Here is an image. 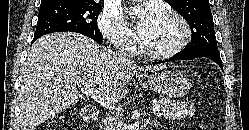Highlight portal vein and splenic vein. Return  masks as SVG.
Returning <instances> with one entry per match:
<instances>
[{
	"label": "portal vein and splenic vein",
	"mask_w": 249,
	"mask_h": 130,
	"mask_svg": "<svg viewBox=\"0 0 249 130\" xmlns=\"http://www.w3.org/2000/svg\"><path fill=\"white\" fill-rule=\"evenodd\" d=\"M81 92L85 94L86 96H90L91 98H93L95 101H97L103 106H108L112 109L115 108L114 106L112 107L110 106V103H109L110 100L105 96L103 92H101L98 89H94L90 87H82ZM159 110H160L159 104L154 105L152 108V112H158Z\"/></svg>",
	"instance_id": "1"
}]
</instances>
